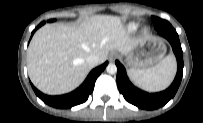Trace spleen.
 <instances>
[{
  "label": "spleen",
  "mask_w": 203,
  "mask_h": 123,
  "mask_svg": "<svg viewBox=\"0 0 203 123\" xmlns=\"http://www.w3.org/2000/svg\"><path fill=\"white\" fill-rule=\"evenodd\" d=\"M176 72V61L168 55L157 65L147 69H130L128 75L135 85L153 92L165 89L172 82Z\"/></svg>",
  "instance_id": "spleen-1"
}]
</instances>
